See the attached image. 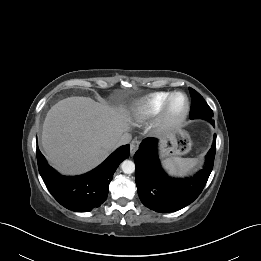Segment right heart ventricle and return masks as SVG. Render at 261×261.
I'll return each instance as SVG.
<instances>
[{"mask_svg": "<svg viewBox=\"0 0 261 261\" xmlns=\"http://www.w3.org/2000/svg\"><path fill=\"white\" fill-rule=\"evenodd\" d=\"M170 95V92H155L143 98L136 111V123H145L161 112Z\"/></svg>", "mask_w": 261, "mask_h": 261, "instance_id": "right-heart-ventricle-1", "label": "right heart ventricle"}]
</instances>
